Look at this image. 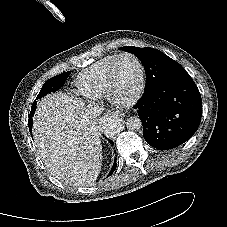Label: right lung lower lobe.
I'll use <instances>...</instances> for the list:
<instances>
[{
	"instance_id": "right-lung-lower-lobe-1",
	"label": "right lung lower lobe",
	"mask_w": 227,
	"mask_h": 227,
	"mask_svg": "<svg viewBox=\"0 0 227 227\" xmlns=\"http://www.w3.org/2000/svg\"><path fill=\"white\" fill-rule=\"evenodd\" d=\"M31 121H32V119H31ZM110 143L113 144V142L111 140H110ZM116 167H117V163H116V159H115V163L112 166L109 176L115 171Z\"/></svg>"
}]
</instances>
